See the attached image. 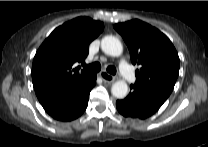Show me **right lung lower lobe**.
<instances>
[{
  "instance_id": "obj_1",
  "label": "right lung lower lobe",
  "mask_w": 208,
  "mask_h": 147,
  "mask_svg": "<svg viewBox=\"0 0 208 147\" xmlns=\"http://www.w3.org/2000/svg\"><path fill=\"white\" fill-rule=\"evenodd\" d=\"M96 75L91 76L72 93L42 104L45 111L60 121H71L79 117L88 105L89 93L96 84Z\"/></svg>"
}]
</instances>
